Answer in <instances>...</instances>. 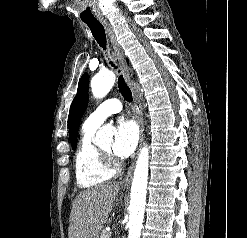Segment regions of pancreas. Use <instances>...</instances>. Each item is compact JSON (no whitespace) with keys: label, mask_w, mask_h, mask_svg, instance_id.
<instances>
[{"label":"pancreas","mask_w":247,"mask_h":238,"mask_svg":"<svg viewBox=\"0 0 247 238\" xmlns=\"http://www.w3.org/2000/svg\"><path fill=\"white\" fill-rule=\"evenodd\" d=\"M100 238H111L110 232L103 231L100 235Z\"/></svg>","instance_id":"obj_1"}]
</instances>
